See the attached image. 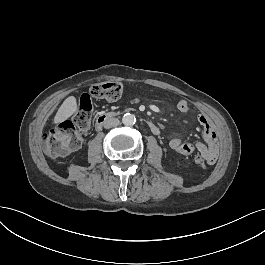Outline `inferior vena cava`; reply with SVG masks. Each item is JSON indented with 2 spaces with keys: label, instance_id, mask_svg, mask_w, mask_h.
<instances>
[{
  "label": "inferior vena cava",
  "instance_id": "1",
  "mask_svg": "<svg viewBox=\"0 0 265 265\" xmlns=\"http://www.w3.org/2000/svg\"><path fill=\"white\" fill-rule=\"evenodd\" d=\"M118 124H119V119L110 117L104 121V128L110 129L116 127Z\"/></svg>",
  "mask_w": 265,
  "mask_h": 265
}]
</instances>
